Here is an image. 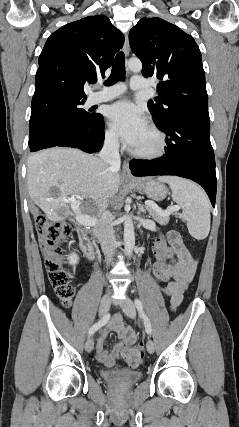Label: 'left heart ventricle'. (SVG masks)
<instances>
[{
  "mask_svg": "<svg viewBox=\"0 0 239 427\" xmlns=\"http://www.w3.org/2000/svg\"><path fill=\"white\" fill-rule=\"evenodd\" d=\"M156 143L157 139L155 134L147 126L132 148L144 151L151 150L156 146Z\"/></svg>",
  "mask_w": 239,
  "mask_h": 427,
  "instance_id": "obj_1",
  "label": "left heart ventricle"
}]
</instances>
